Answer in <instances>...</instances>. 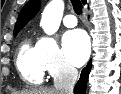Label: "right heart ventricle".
I'll use <instances>...</instances> for the list:
<instances>
[{
	"label": "right heart ventricle",
	"instance_id": "obj_1",
	"mask_svg": "<svg viewBox=\"0 0 121 94\" xmlns=\"http://www.w3.org/2000/svg\"><path fill=\"white\" fill-rule=\"evenodd\" d=\"M17 69L21 78L30 85H39L44 80V69L42 68L37 46L32 45L29 39L22 41L17 54Z\"/></svg>",
	"mask_w": 121,
	"mask_h": 94
}]
</instances>
